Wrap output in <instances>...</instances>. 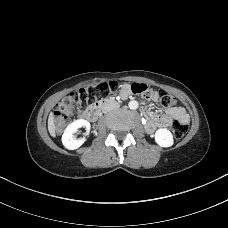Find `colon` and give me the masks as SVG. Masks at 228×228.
<instances>
[{
    "mask_svg": "<svg viewBox=\"0 0 228 228\" xmlns=\"http://www.w3.org/2000/svg\"><path fill=\"white\" fill-rule=\"evenodd\" d=\"M118 85L119 83L117 81H108L92 87L81 88L69 94L58 103L54 110L53 123L55 127L61 130L70 121V115L75 107H82L92 102L95 98L102 96L106 91L115 89ZM131 90L134 94H139L147 98H150L152 94L151 89L142 83H133ZM158 94L159 105L162 109H169L176 105V98L168 92L161 90ZM171 129L174 136L178 139H182L188 131L187 125L180 121H174Z\"/></svg>",
    "mask_w": 228,
    "mask_h": 228,
    "instance_id": "obj_1",
    "label": "colon"
}]
</instances>
